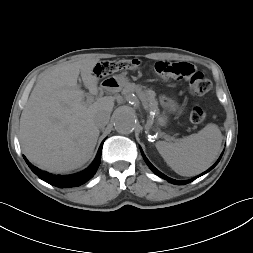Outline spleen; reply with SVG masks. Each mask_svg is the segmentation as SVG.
<instances>
[{"label":"spleen","mask_w":253,"mask_h":253,"mask_svg":"<svg viewBox=\"0 0 253 253\" xmlns=\"http://www.w3.org/2000/svg\"><path fill=\"white\" fill-rule=\"evenodd\" d=\"M222 134L216 124H207L196 134L176 142H156L168 166L181 176H194L206 170L221 150Z\"/></svg>","instance_id":"spleen-1"}]
</instances>
